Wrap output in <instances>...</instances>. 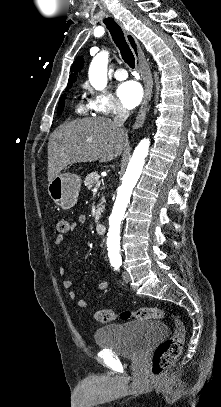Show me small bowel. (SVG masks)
Wrapping results in <instances>:
<instances>
[{"instance_id": "obj_1", "label": "small bowel", "mask_w": 221, "mask_h": 407, "mask_svg": "<svg viewBox=\"0 0 221 407\" xmlns=\"http://www.w3.org/2000/svg\"><path fill=\"white\" fill-rule=\"evenodd\" d=\"M86 222V217L84 215H80L76 221V223L72 226L71 230L74 231L76 230L78 227L84 225ZM65 237L64 236H57V238L55 239V244L57 246L61 245L64 241ZM59 274L61 276H64L65 274V269L64 267L60 266L59 267ZM62 287L66 290H70L72 288V282L70 280H63L62 281ZM108 288V283L106 281L100 282L98 285V289L100 291H103L105 289ZM68 297L71 300H76L77 299V294L74 291H69L68 293ZM77 305L80 308H86L87 307V302L84 299H77Z\"/></svg>"}]
</instances>
